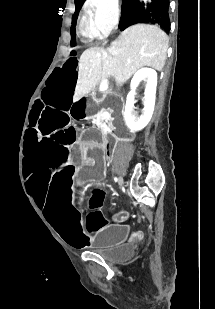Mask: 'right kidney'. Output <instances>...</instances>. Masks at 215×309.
<instances>
[{"instance_id":"1","label":"right kidney","mask_w":215,"mask_h":309,"mask_svg":"<svg viewBox=\"0 0 215 309\" xmlns=\"http://www.w3.org/2000/svg\"><path fill=\"white\" fill-rule=\"evenodd\" d=\"M141 80H147L144 92V108L141 116H135L133 114L134 94H136V86H138ZM156 86L157 72L154 68H140V70L135 72L131 80V90L128 92L125 110L123 112L125 122L131 130H141V128H144L148 124L155 106Z\"/></svg>"}]
</instances>
